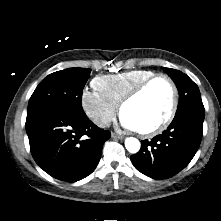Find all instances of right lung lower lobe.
<instances>
[{
  "label": "right lung lower lobe",
  "instance_id": "98d812e1",
  "mask_svg": "<svg viewBox=\"0 0 221 221\" xmlns=\"http://www.w3.org/2000/svg\"><path fill=\"white\" fill-rule=\"evenodd\" d=\"M26 131L35 162L66 182L87 177L96 168L110 132L97 127L84 111L66 108L27 115Z\"/></svg>",
  "mask_w": 221,
  "mask_h": 221
}]
</instances>
